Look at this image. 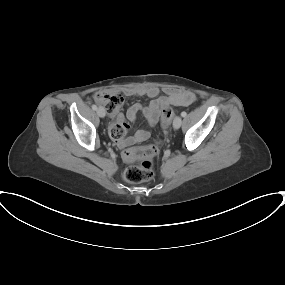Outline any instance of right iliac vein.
<instances>
[{"instance_id": "right-iliac-vein-1", "label": "right iliac vein", "mask_w": 285, "mask_h": 285, "mask_svg": "<svg viewBox=\"0 0 285 285\" xmlns=\"http://www.w3.org/2000/svg\"><path fill=\"white\" fill-rule=\"evenodd\" d=\"M97 114H98L99 117L103 118V117H105L106 112H105L104 108L99 107V108L97 109Z\"/></svg>"}]
</instances>
